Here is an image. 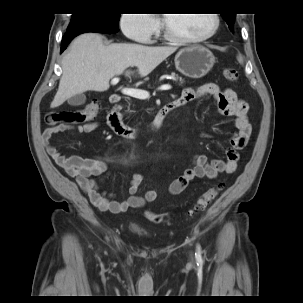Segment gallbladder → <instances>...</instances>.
Here are the masks:
<instances>
[{
	"mask_svg": "<svg viewBox=\"0 0 303 303\" xmlns=\"http://www.w3.org/2000/svg\"><path fill=\"white\" fill-rule=\"evenodd\" d=\"M86 101V96L82 94H77L68 99V103L72 106H80L83 105Z\"/></svg>",
	"mask_w": 303,
	"mask_h": 303,
	"instance_id": "gallbladder-1",
	"label": "gallbladder"
}]
</instances>
